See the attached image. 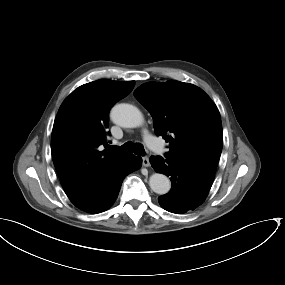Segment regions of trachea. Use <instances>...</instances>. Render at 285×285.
I'll return each mask as SVG.
<instances>
[{
  "mask_svg": "<svg viewBox=\"0 0 285 285\" xmlns=\"http://www.w3.org/2000/svg\"><path fill=\"white\" fill-rule=\"evenodd\" d=\"M110 151L119 153V154H131L135 153L136 155L139 156H144L145 155V150L142 144H134L132 142H127L123 144L121 147L119 146H110L109 148Z\"/></svg>",
  "mask_w": 285,
  "mask_h": 285,
  "instance_id": "3493384b",
  "label": "trachea"
}]
</instances>
